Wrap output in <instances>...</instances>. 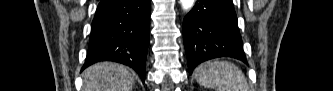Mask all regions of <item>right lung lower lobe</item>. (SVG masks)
Listing matches in <instances>:
<instances>
[{"label":"right lung lower lobe","instance_id":"right-lung-lower-lobe-1","mask_svg":"<svg viewBox=\"0 0 333 91\" xmlns=\"http://www.w3.org/2000/svg\"><path fill=\"white\" fill-rule=\"evenodd\" d=\"M150 9V0H101L82 70L99 61H115L132 67L144 82Z\"/></svg>","mask_w":333,"mask_h":91}]
</instances>
